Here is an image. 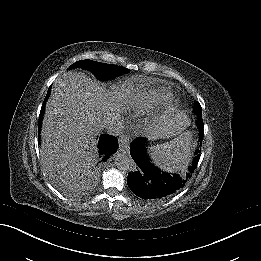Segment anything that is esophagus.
<instances>
[{"label": "esophagus", "instance_id": "34e87169", "mask_svg": "<svg viewBox=\"0 0 261 261\" xmlns=\"http://www.w3.org/2000/svg\"><path fill=\"white\" fill-rule=\"evenodd\" d=\"M130 136L123 134L119 137V150L123 153H128L129 151Z\"/></svg>", "mask_w": 261, "mask_h": 261}]
</instances>
